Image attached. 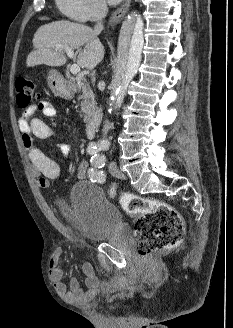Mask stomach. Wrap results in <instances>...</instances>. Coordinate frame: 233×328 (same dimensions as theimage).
<instances>
[{
  "mask_svg": "<svg viewBox=\"0 0 233 328\" xmlns=\"http://www.w3.org/2000/svg\"><path fill=\"white\" fill-rule=\"evenodd\" d=\"M49 86L52 92L57 96L69 99L73 95L71 89L65 85V83L55 71H52L51 75L49 76Z\"/></svg>",
  "mask_w": 233,
  "mask_h": 328,
  "instance_id": "obj_1",
  "label": "stomach"
}]
</instances>
